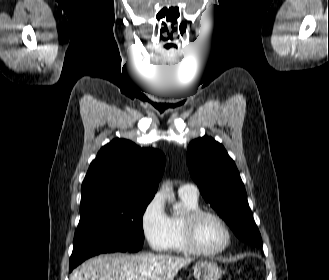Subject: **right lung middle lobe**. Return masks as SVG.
Masks as SVG:
<instances>
[{
	"mask_svg": "<svg viewBox=\"0 0 329 280\" xmlns=\"http://www.w3.org/2000/svg\"><path fill=\"white\" fill-rule=\"evenodd\" d=\"M152 198L120 196L81 205L69 268L104 249L139 251L144 241L142 217Z\"/></svg>",
	"mask_w": 329,
	"mask_h": 280,
	"instance_id": "obj_1",
	"label": "right lung middle lobe"
}]
</instances>
